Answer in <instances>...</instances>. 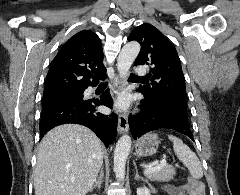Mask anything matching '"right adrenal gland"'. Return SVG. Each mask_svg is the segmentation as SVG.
I'll list each match as a JSON object with an SVG mask.
<instances>
[{
  "label": "right adrenal gland",
  "instance_id": "obj_1",
  "mask_svg": "<svg viewBox=\"0 0 240 195\" xmlns=\"http://www.w3.org/2000/svg\"><path fill=\"white\" fill-rule=\"evenodd\" d=\"M102 181H103V173H100L97 181H95V183H93L92 187H90V191H93V189H95V187H98V189H100Z\"/></svg>",
  "mask_w": 240,
  "mask_h": 195
}]
</instances>
